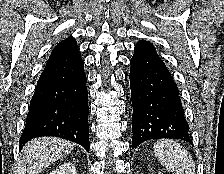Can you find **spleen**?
<instances>
[{"instance_id": "spleen-1", "label": "spleen", "mask_w": 224, "mask_h": 174, "mask_svg": "<svg viewBox=\"0 0 224 174\" xmlns=\"http://www.w3.org/2000/svg\"><path fill=\"white\" fill-rule=\"evenodd\" d=\"M159 162L172 174H195V164L188 151L173 140H160L154 146Z\"/></svg>"}]
</instances>
